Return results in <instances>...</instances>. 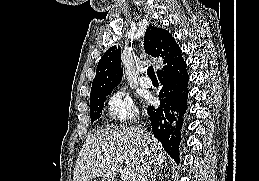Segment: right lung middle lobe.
Segmentation results:
<instances>
[{"instance_id":"right-lung-middle-lobe-1","label":"right lung middle lobe","mask_w":259,"mask_h":181,"mask_svg":"<svg viewBox=\"0 0 259 181\" xmlns=\"http://www.w3.org/2000/svg\"><path fill=\"white\" fill-rule=\"evenodd\" d=\"M110 93L111 92H106L90 98V116H91L92 122L100 118L102 114L104 102L106 100V97Z\"/></svg>"}]
</instances>
